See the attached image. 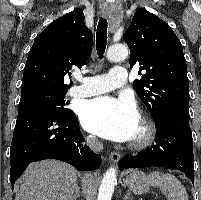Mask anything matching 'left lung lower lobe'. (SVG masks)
<instances>
[{"mask_svg": "<svg viewBox=\"0 0 201 200\" xmlns=\"http://www.w3.org/2000/svg\"><path fill=\"white\" fill-rule=\"evenodd\" d=\"M157 134L155 144L136 156L119 161L120 170L158 166L176 169L194 184L193 139L189 126V109L169 107L154 118Z\"/></svg>", "mask_w": 201, "mask_h": 200, "instance_id": "0a47b994", "label": "left lung lower lobe"}]
</instances>
